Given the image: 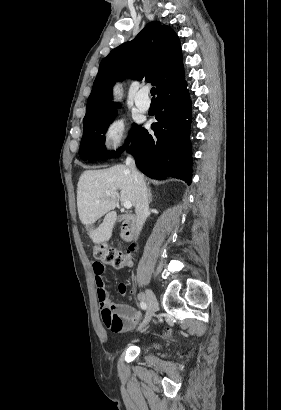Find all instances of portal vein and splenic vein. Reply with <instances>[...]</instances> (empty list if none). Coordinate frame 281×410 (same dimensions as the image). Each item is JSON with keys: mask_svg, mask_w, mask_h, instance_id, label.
I'll return each instance as SVG.
<instances>
[{"mask_svg": "<svg viewBox=\"0 0 281 410\" xmlns=\"http://www.w3.org/2000/svg\"><path fill=\"white\" fill-rule=\"evenodd\" d=\"M99 203V201H97ZM123 206L125 209H130L132 207V203L130 201H124Z\"/></svg>", "mask_w": 281, "mask_h": 410, "instance_id": "obj_1", "label": "portal vein and splenic vein"}]
</instances>
